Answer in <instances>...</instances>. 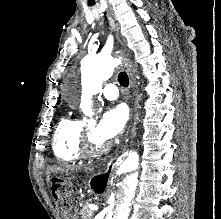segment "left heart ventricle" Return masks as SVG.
<instances>
[{
  "label": "left heart ventricle",
  "mask_w": 221,
  "mask_h": 219,
  "mask_svg": "<svg viewBox=\"0 0 221 219\" xmlns=\"http://www.w3.org/2000/svg\"><path fill=\"white\" fill-rule=\"evenodd\" d=\"M92 134H93V138L96 140V141H99L97 138H96V136H95V134L92 132Z\"/></svg>",
  "instance_id": "left-heart-ventricle-1"
}]
</instances>
